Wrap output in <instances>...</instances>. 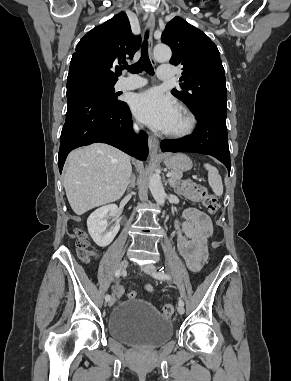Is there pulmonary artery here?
I'll return each instance as SVG.
<instances>
[{
	"instance_id": "pulmonary-artery-1",
	"label": "pulmonary artery",
	"mask_w": 291,
	"mask_h": 381,
	"mask_svg": "<svg viewBox=\"0 0 291 381\" xmlns=\"http://www.w3.org/2000/svg\"><path fill=\"white\" fill-rule=\"evenodd\" d=\"M175 68L172 65H161L158 68L157 74L160 80H171L174 76ZM146 84V80L136 76L131 75L128 77L121 78L117 82L118 90H134L140 88Z\"/></svg>"
}]
</instances>
